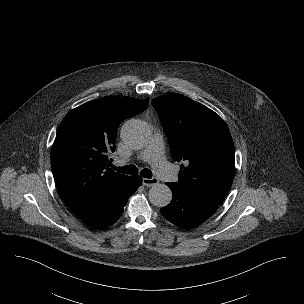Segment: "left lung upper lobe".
Masks as SVG:
<instances>
[{
	"label": "left lung upper lobe",
	"mask_w": 304,
	"mask_h": 304,
	"mask_svg": "<svg viewBox=\"0 0 304 304\" xmlns=\"http://www.w3.org/2000/svg\"><path fill=\"white\" fill-rule=\"evenodd\" d=\"M152 104L173 159L186 163L174 185L221 204L234 177L235 150L226 124L211 109L180 94L156 97Z\"/></svg>",
	"instance_id": "left-lung-upper-lobe-1"
}]
</instances>
